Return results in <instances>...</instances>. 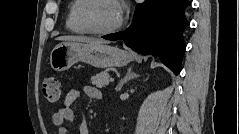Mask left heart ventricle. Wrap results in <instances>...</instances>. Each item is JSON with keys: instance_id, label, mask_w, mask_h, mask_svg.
I'll list each match as a JSON object with an SVG mask.
<instances>
[{"instance_id": "1", "label": "left heart ventricle", "mask_w": 239, "mask_h": 134, "mask_svg": "<svg viewBox=\"0 0 239 134\" xmlns=\"http://www.w3.org/2000/svg\"><path fill=\"white\" fill-rule=\"evenodd\" d=\"M90 16L94 26L107 29L119 21L121 13L118 5L113 1L100 0L92 8Z\"/></svg>"}]
</instances>
